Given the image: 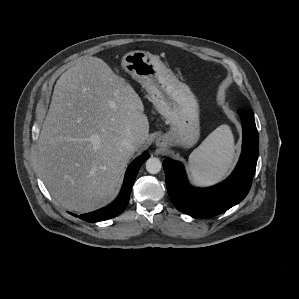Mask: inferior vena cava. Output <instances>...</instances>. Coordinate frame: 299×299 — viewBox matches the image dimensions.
<instances>
[{
	"label": "inferior vena cava",
	"mask_w": 299,
	"mask_h": 299,
	"mask_svg": "<svg viewBox=\"0 0 299 299\" xmlns=\"http://www.w3.org/2000/svg\"><path fill=\"white\" fill-rule=\"evenodd\" d=\"M122 148L128 151H134L136 147V140L135 139H125L121 142Z\"/></svg>",
	"instance_id": "obj_1"
}]
</instances>
